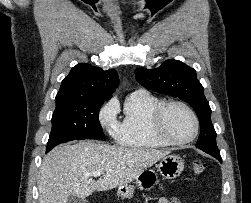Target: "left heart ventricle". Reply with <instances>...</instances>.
<instances>
[{"label":"left heart ventricle","instance_id":"obj_1","mask_svg":"<svg viewBox=\"0 0 251 203\" xmlns=\"http://www.w3.org/2000/svg\"><path fill=\"white\" fill-rule=\"evenodd\" d=\"M164 130L174 139H186L193 133L194 122L190 114L184 108L172 106L166 112Z\"/></svg>","mask_w":251,"mask_h":203}]
</instances>
